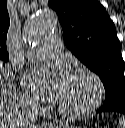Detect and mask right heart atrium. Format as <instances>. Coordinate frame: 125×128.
<instances>
[{
  "label": "right heart atrium",
  "mask_w": 125,
  "mask_h": 128,
  "mask_svg": "<svg viewBox=\"0 0 125 128\" xmlns=\"http://www.w3.org/2000/svg\"><path fill=\"white\" fill-rule=\"evenodd\" d=\"M20 104L28 109H35L38 106L37 101L26 93L20 92L18 95Z\"/></svg>",
  "instance_id": "1"
}]
</instances>
